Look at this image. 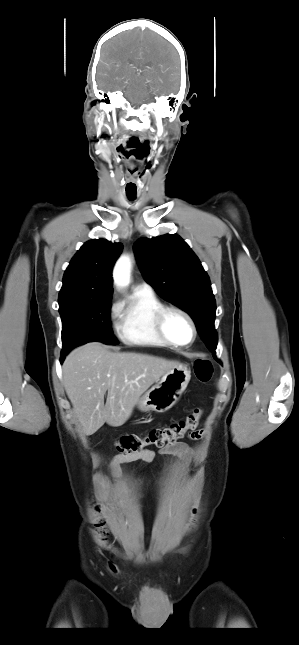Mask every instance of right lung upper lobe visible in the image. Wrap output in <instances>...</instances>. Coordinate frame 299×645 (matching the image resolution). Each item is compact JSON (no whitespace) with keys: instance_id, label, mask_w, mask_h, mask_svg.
Masks as SVG:
<instances>
[{"instance_id":"right-lung-upper-lobe-1","label":"right lung upper lobe","mask_w":299,"mask_h":645,"mask_svg":"<svg viewBox=\"0 0 299 645\" xmlns=\"http://www.w3.org/2000/svg\"><path fill=\"white\" fill-rule=\"evenodd\" d=\"M123 249L122 243L104 239L86 242L67 267L58 302L70 299L111 296L112 268Z\"/></svg>"}]
</instances>
